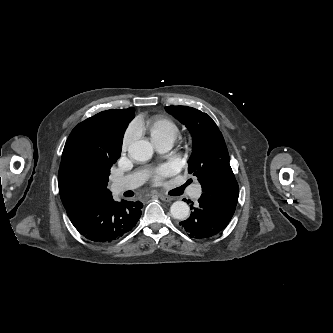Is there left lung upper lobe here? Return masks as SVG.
<instances>
[{"label":"left lung upper lobe","mask_w":333,"mask_h":333,"mask_svg":"<svg viewBox=\"0 0 333 333\" xmlns=\"http://www.w3.org/2000/svg\"><path fill=\"white\" fill-rule=\"evenodd\" d=\"M166 111L183 123L193 138L188 171L198 178L203 193L216 198H237L239 187L230 167L229 153L219 128L206 113L187 106H168Z\"/></svg>","instance_id":"obj_1"}]
</instances>
